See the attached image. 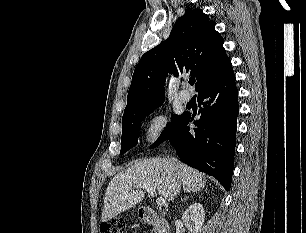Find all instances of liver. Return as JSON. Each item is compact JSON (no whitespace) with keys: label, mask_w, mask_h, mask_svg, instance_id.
Instances as JSON below:
<instances>
[{"label":"liver","mask_w":306,"mask_h":233,"mask_svg":"<svg viewBox=\"0 0 306 233\" xmlns=\"http://www.w3.org/2000/svg\"><path fill=\"white\" fill-rule=\"evenodd\" d=\"M138 184L152 186L165 200L172 201L180 190L196 192L205 187L204 174L186 164L167 158L139 161L110 181L104 196L102 222L133 208L145 197Z\"/></svg>","instance_id":"liver-1"}]
</instances>
